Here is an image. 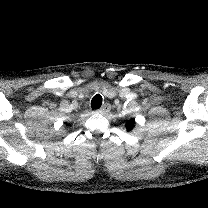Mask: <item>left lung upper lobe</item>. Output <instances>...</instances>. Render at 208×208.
Returning <instances> with one entry per match:
<instances>
[{"label": "left lung upper lobe", "instance_id": "obj_1", "mask_svg": "<svg viewBox=\"0 0 208 208\" xmlns=\"http://www.w3.org/2000/svg\"><path fill=\"white\" fill-rule=\"evenodd\" d=\"M134 125H135V120L134 119L129 120L128 123L126 124L127 131H131Z\"/></svg>", "mask_w": 208, "mask_h": 208}]
</instances>
